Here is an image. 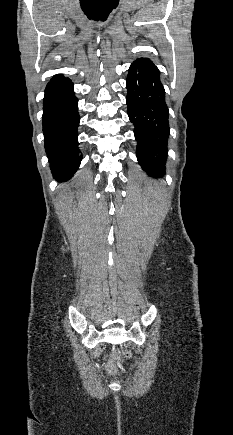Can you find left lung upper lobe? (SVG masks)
Listing matches in <instances>:
<instances>
[{"instance_id": "1", "label": "left lung upper lobe", "mask_w": 233, "mask_h": 435, "mask_svg": "<svg viewBox=\"0 0 233 435\" xmlns=\"http://www.w3.org/2000/svg\"><path fill=\"white\" fill-rule=\"evenodd\" d=\"M135 63L138 65L148 66V67L154 68L157 71H159L158 68L150 60H148L146 58H139L135 61Z\"/></svg>"}]
</instances>
